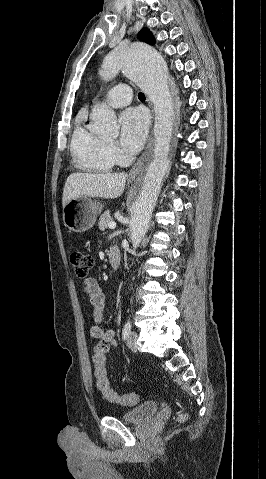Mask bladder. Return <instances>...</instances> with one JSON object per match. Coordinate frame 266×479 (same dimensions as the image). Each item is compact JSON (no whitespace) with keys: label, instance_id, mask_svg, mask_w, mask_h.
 I'll use <instances>...</instances> for the list:
<instances>
[{"label":"bladder","instance_id":"31cf9c89","mask_svg":"<svg viewBox=\"0 0 266 479\" xmlns=\"http://www.w3.org/2000/svg\"><path fill=\"white\" fill-rule=\"evenodd\" d=\"M159 406L156 402L147 401L119 415V419L132 424H141L154 417Z\"/></svg>","mask_w":266,"mask_h":479}]
</instances>
